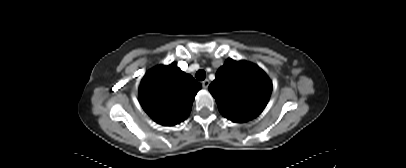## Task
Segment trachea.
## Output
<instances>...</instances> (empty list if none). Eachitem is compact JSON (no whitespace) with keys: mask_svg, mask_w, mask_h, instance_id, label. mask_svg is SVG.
<instances>
[{"mask_svg":"<svg viewBox=\"0 0 406 168\" xmlns=\"http://www.w3.org/2000/svg\"><path fill=\"white\" fill-rule=\"evenodd\" d=\"M195 77L197 80L202 81L206 78V72L204 70H198Z\"/></svg>","mask_w":406,"mask_h":168,"instance_id":"obj_1","label":"trachea"}]
</instances>
